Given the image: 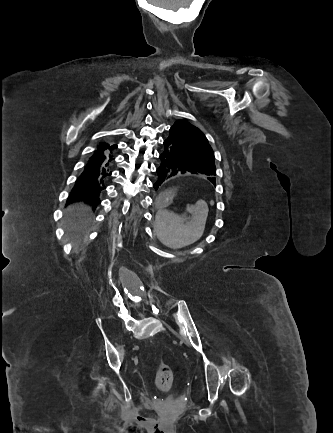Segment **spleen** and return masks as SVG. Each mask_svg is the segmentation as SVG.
Returning <instances> with one entry per match:
<instances>
[{"label":"spleen","mask_w":333,"mask_h":433,"mask_svg":"<svg viewBox=\"0 0 333 433\" xmlns=\"http://www.w3.org/2000/svg\"><path fill=\"white\" fill-rule=\"evenodd\" d=\"M191 220L178 216L175 209L158 210L154 222V233L158 240L172 249H180L198 241L204 233L208 207L202 201L188 206Z\"/></svg>","instance_id":"spleen-1"}]
</instances>
